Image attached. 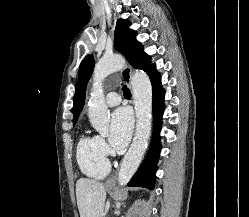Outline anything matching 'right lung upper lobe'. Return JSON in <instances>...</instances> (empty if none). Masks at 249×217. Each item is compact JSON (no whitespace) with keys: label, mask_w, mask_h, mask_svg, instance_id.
<instances>
[{"label":"right lung upper lobe","mask_w":249,"mask_h":217,"mask_svg":"<svg viewBox=\"0 0 249 217\" xmlns=\"http://www.w3.org/2000/svg\"><path fill=\"white\" fill-rule=\"evenodd\" d=\"M83 101H82V97H81V94H80V91H79V88L78 86L76 85V92H75V95H74V105H73V109H72V112H73V123L75 124L78 117H79V111L80 109L83 107Z\"/></svg>","instance_id":"obj_1"}]
</instances>
